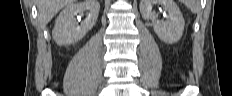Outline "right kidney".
<instances>
[{"mask_svg": "<svg viewBox=\"0 0 232 96\" xmlns=\"http://www.w3.org/2000/svg\"><path fill=\"white\" fill-rule=\"evenodd\" d=\"M100 5L97 0H85L71 3L59 14L52 32L53 39L60 45H70L81 40L95 25ZM87 11L86 19L79 26L75 16Z\"/></svg>", "mask_w": 232, "mask_h": 96, "instance_id": "obj_1", "label": "right kidney"}]
</instances>
